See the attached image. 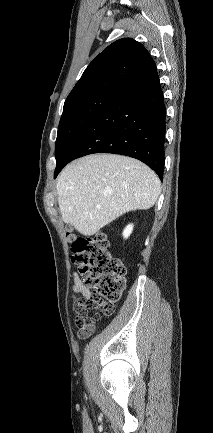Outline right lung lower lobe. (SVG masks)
<instances>
[{
	"label": "right lung lower lobe",
	"instance_id": "98d812e1",
	"mask_svg": "<svg viewBox=\"0 0 213 433\" xmlns=\"http://www.w3.org/2000/svg\"><path fill=\"white\" fill-rule=\"evenodd\" d=\"M166 107L156 67L89 123L56 160L54 177L75 158L115 153L136 158L162 180Z\"/></svg>",
	"mask_w": 213,
	"mask_h": 433
}]
</instances>
